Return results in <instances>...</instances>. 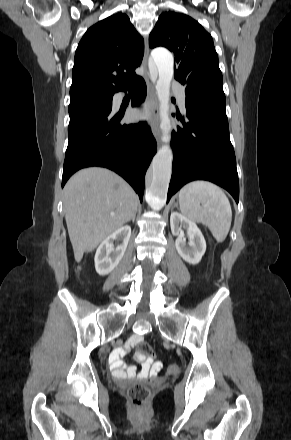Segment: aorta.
<instances>
[{
	"label": "aorta",
	"mask_w": 291,
	"mask_h": 440,
	"mask_svg": "<svg viewBox=\"0 0 291 440\" xmlns=\"http://www.w3.org/2000/svg\"><path fill=\"white\" fill-rule=\"evenodd\" d=\"M153 61L158 69L156 85L159 99L160 128L162 147L157 151L151 165L150 182L146 190L148 204L155 210L161 209L167 199L168 186L172 173L173 152L170 147L172 123L169 117L170 87L174 73L173 55L166 49H155Z\"/></svg>",
	"instance_id": "aorta-1"
}]
</instances>
